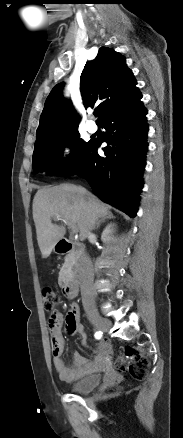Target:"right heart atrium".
I'll use <instances>...</instances> for the list:
<instances>
[{"instance_id":"obj_1","label":"right heart atrium","mask_w":183,"mask_h":438,"mask_svg":"<svg viewBox=\"0 0 183 438\" xmlns=\"http://www.w3.org/2000/svg\"><path fill=\"white\" fill-rule=\"evenodd\" d=\"M74 155V146L70 141H67L62 146L60 157L63 162H67L72 159Z\"/></svg>"}]
</instances>
